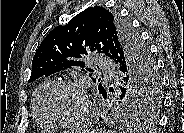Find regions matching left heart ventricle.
<instances>
[{"label":"left heart ventricle","instance_id":"left-heart-ventricle-1","mask_svg":"<svg viewBox=\"0 0 184 133\" xmlns=\"http://www.w3.org/2000/svg\"><path fill=\"white\" fill-rule=\"evenodd\" d=\"M49 106L56 117L72 119L83 112L85 101L82 93L78 89L61 87L51 95Z\"/></svg>","mask_w":184,"mask_h":133}]
</instances>
